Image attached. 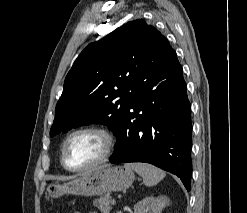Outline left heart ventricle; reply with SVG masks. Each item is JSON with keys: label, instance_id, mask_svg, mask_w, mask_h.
<instances>
[{"label": "left heart ventricle", "instance_id": "1", "mask_svg": "<svg viewBox=\"0 0 247 213\" xmlns=\"http://www.w3.org/2000/svg\"><path fill=\"white\" fill-rule=\"evenodd\" d=\"M103 150L104 141L101 136L94 133H80L69 140L65 159L70 167H85L98 160Z\"/></svg>", "mask_w": 247, "mask_h": 213}]
</instances>
